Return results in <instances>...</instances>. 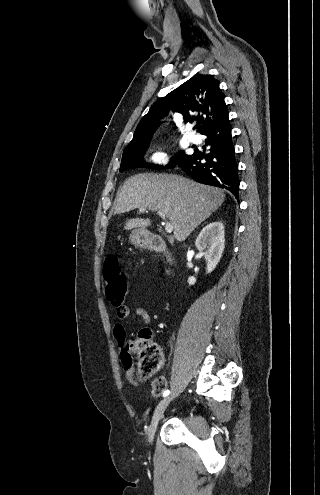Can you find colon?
Segmentation results:
<instances>
[{"instance_id":"colon-1","label":"colon","mask_w":320,"mask_h":495,"mask_svg":"<svg viewBox=\"0 0 320 495\" xmlns=\"http://www.w3.org/2000/svg\"><path fill=\"white\" fill-rule=\"evenodd\" d=\"M103 278L105 284V292L107 299L113 303L117 311L124 308L123 299L127 293V279L120 266L117 256L109 255L106 257L103 266ZM150 332L147 329L140 331L138 337L130 341L126 346V350L134 352L138 357V377L141 380L149 379L161 367L163 362V354L161 349L148 340ZM125 363L132 362L129 353H124ZM166 388V382L162 378H155L152 381V395L160 396Z\"/></svg>"}]
</instances>
